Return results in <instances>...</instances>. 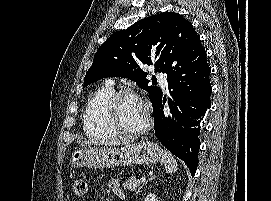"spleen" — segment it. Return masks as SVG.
Masks as SVG:
<instances>
[{
	"label": "spleen",
	"mask_w": 271,
	"mask_h": 201,
	"mask_svg": "<svg viewBox=\"0 0 271 201\" xmlns=\"http://www.w3.org/2000/svg\"><path fill=\"white\" fill-rule=\"evenodd\" d=\"M161 162L164 164L165 170L167 173H170V174L175 173L178 169V164H177L176 159L170 152L166 150H162Z\"/></svg>",
	"instance_id": "spleen-1"
}]
</instances>
